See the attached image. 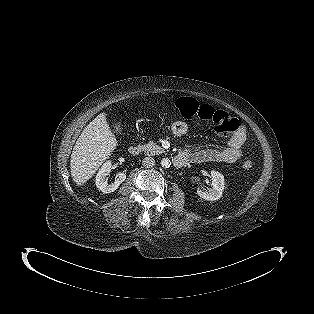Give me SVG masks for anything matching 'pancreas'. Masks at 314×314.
<instances>
[{"label":"pancreas","mask_w":314,"mask_h":314,"mask_svg":"<svg viewBox=\"0 0 314 314\" xmlns=\"http://www.w3.org/2000/svg\"><path fill=\"white\" fill-rule=\"evenodd\" d=\"M146 155H159L165 153V150L154 142L143 145Z\"/></svg>","instance_id":"pancreas-1"}]
</instances>
